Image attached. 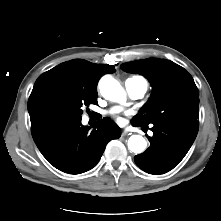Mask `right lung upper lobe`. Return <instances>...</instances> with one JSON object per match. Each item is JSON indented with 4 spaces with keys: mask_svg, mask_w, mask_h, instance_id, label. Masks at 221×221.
Returning a JSON list of instances; mask_svg holds the SVG:
<instances>
[{
    "mask_svg": "<svg viewBox=\"0 0 221 221\" xmlns=\"http://www.w3.org/2000/svg\"><path fill=\"white\" fill-rule=\"evenodd\" d=\"M113 72L115 69L112 65L74 59L41 74L36 80L28 100L31 125L37 126L53 117L52 101L61 92L83 90L97 93V83L100 77Z\"/></svg>",
    "mask_w": 221,
    "mask_h": 221,
    "instance_id": "obj_1",
    "label": "right lung upper lobe"
}]
</instances>
